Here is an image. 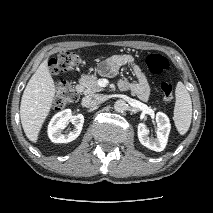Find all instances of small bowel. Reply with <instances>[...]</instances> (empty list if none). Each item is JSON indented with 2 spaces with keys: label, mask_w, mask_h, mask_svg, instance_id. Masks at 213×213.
<instances>
[{
  "label": "small bowel",
  "mask_w": 213,
  "mask_h": 213,
  "mask_svg": "<svg viewBox=\"0 0 213 213\" xmlns=\"http://www.w3.org/2000/svg\"><path fill=\"white\" fill-rule=\"evenodd\" d=\"M122 66H130L132 68L136 81L130 82L126 79H122L118 84L120 89L129 90L140 99L147 100L150 95V87L145 73L133 56L129 54L114 55L101 65V71L106 76H113Z\"/></svg>",
  "instance_id": "1"
}]
</instances>
